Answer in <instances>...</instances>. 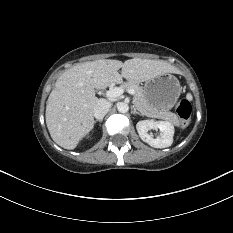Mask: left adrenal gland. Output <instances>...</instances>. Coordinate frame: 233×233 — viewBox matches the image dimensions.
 Instances as JSON below:
<instances>
[{"label":"left adrenal gland","instance_id":"obj_1","mask_svg":"<svg viewBox=\"0 0 233 233\" xmlns=\"http://www.w3.org/2000/svg\"><path fill=\"white\" fill-rule=\"evenodd\" d=\"M132 113H133V114H138V115H140V116H143V114L139 113V112L134 108V106H133Z\"/></svg>","mask_w":233,"mask_h":233}]
</instances>
